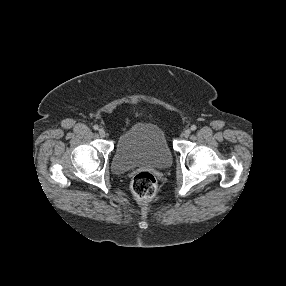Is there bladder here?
I'll return each instance as SVG.
<instances>
[{
	"instance_id": "bladder-1",
	"label": "bladder",
	"mask_w": 286,
	"mask_h": 286,
	"mask_svg": "<svg viewBox=\"0 0 286 286\" xmlns=\"http://www.w3.org/2000/svg\"><path fill=\"white\" fill-rule=\"evenodd\" d=\"M171 163L172 153L164 132L159 126L143 121H135L126 129L112 157V168L117 174L140 166L164 169Z\"/></svg>"
}]
</instances>
